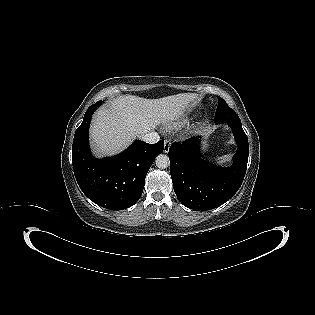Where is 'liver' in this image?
<instances>
[{
  "mask_svg": "<svg viewBox=\"0 0 315 315\" xmlns=\"http://www.w3.org/2000/svg\"><path fill=\"white\" fill-rule=\"evenodd\" d=\"M195 98L188 93L159 99L133 95L114 98L93 118L90 136L95 152L111 155L125 149L133 139L180 118Z\"/></svg>",
  "mask_w": 315,
  "mask_h": 315,
  "instance_id": "1",
  "label": "liver"
}]
</instances>
